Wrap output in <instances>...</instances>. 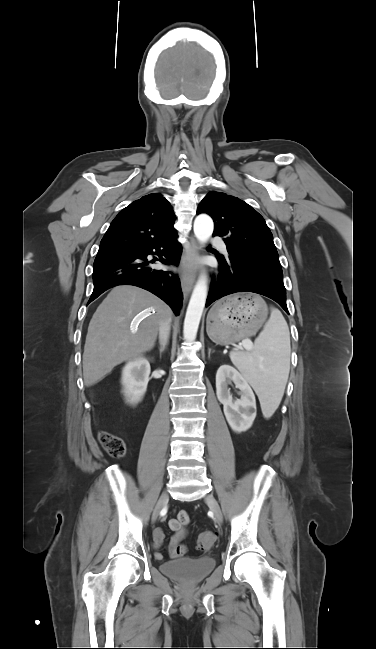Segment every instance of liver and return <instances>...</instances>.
Instances as JSON below:
<instances>
[{
	"instance_id": "obj_1",
	"label": "liver",
	"mask_w": 376,
	"mask_h": 649,
	"mask_svg": "<svg viewBox=\"0 0 376 649\" xmlns=\"http://www.w3.org/2000/svg\"><path fill=\"white\" fill-rule=\"evenodd\" d=\"M171 314L167 304L142 288L114 287L88 326L83 353L84 385L98 383L116 365L152 349L161 324Z\"/></svg>"
}]
</instances>
